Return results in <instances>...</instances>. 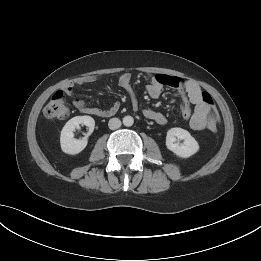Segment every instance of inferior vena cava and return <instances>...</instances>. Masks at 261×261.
I'll return each instance as SVG.
<instances>
[{"label":"inferior vena cava","mask_w":261,"mask_h":261,"mask_svg":"<svg viewBox=\"0 0 261 261\" xmlns=\"http://www.w3.org/2000/svg\"><path fill=\"white\" fill-rule=\"evenodd\" d=\"M108 126L111 130L118 129L121 126V121L118 118H111Z\"/></svg>","instance_id":"obj_1"}]
</instances>
